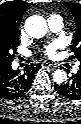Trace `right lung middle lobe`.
I'll return each instance as SVG.
<instances>
[{
	"instance_id": "right-lung-middle-lobe-1",
	"label": "right lung middle lobe",
	"mask_w": 81,
	"mask_h": 124,
	"mask_svg": "<svg viewBox=\"0 0 81 124\" xmlns=\"http://www.w3.org/2000/svg\"><path fill=\"white\" fill-rule=\"evenodd\" d=\"M18 46L17 39L9 38L2 41L0 43V63L12 62Z\"/></svg>"
}]
</instances>
